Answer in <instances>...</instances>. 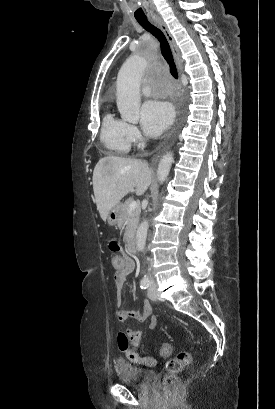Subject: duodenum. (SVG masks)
Segmentation results:
<instances>
[{"label":"duodenum","mask_w":275,"mask_h":409,"mask_svg":"<svg viewBox=\"0 0 275 409\" xmlns=\"http://www.w3.org/2000/svg\"><path fill=\"white\" fill-rule=\"evenodd\" d=\"M127 249L130 254H136L137 247L133 238H130L127 243Z\"/></svg>","instance_id":"duodenum-1"}]
</instances>
